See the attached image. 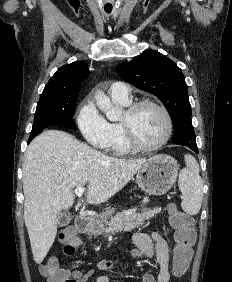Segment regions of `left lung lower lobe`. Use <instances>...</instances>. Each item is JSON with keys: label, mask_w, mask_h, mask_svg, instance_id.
Wrapping results in <instances>:
<instances>
[{"label": "left lung lower lobe", "mask_w": 232, "mask_h": 282, "mask_svg": "<svg viewBox=\"0 0 232 282\" xmlns=\"http://www.w3.org/2000/svg\"><path fill=\"white\" fill-rule=\"evenodd\" d=\"M174 144L184 145L181 142L177 141L176 139H174ZM185 146H189L190 149H192L194 152L198 153L197 145H185Z\"/></svg>", "instance_id": "0a47b994"}]
</instances>
